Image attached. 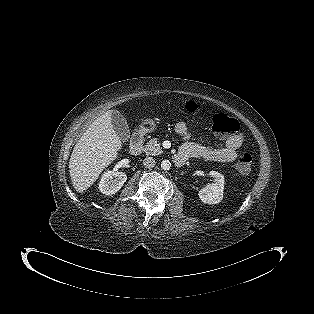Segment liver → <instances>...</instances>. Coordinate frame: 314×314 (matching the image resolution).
Listing matches in <instances>:
<instances>
[{
    "mask_svg": "<svg viewBox=\"0 0 314 314\" xmlns=\"http://www.w3.org/2000/svg\"><path fill=\"white\" fill-rule=\"evenodd\" d=\"M112 110L100 115L83 133L72 151L69 173L77 192L83 193L117 157L122 148L112 126Z\"/></svg>",
    "mask_w": 314,
    "mask_h": 314,
    "instance_id": "1",
    "label": "liver"
}]
</instances>
